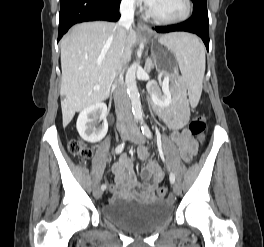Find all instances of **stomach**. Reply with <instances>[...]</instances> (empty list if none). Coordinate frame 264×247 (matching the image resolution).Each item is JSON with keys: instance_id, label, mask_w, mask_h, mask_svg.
Segmentation results:
<instances>
[{"instance_id": "obj_1", "label": "stomach", "mask_w": 264, "mask_h": 247, "mask_svg": "<svg viewBox=\"0 0 264 247\" xmlns=\"http://www.w3.org/2000/svg\"><path fill=\"white\" fill-rule=\"evenodd\" d=\"M169 38L165 35L159 38V44H151L155 68L158 72H162L163 75L175 74L173 68H176V63H171L176 62V57H174V53H170V48L167 44Z\"/></svg>"}]
</instances>
